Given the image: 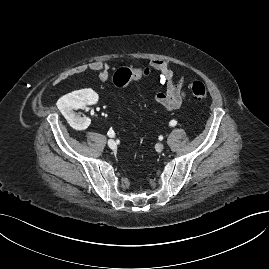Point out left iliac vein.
I'll return each mask as SVG.
<instances>
[{
    "mask_svg": "<svg viewBox=\"0 0 269 269\" xmlns=\"http://www.w3.org/2000/svg\"><path fill=\"white\" fill-rule=\"evenodd\" d=\"M156 148L158 151H162L164 149V145L159 143V144H157Z\"/></svg>",
    "mask_w": 269,
    "mask_h": 269,
    "instance_id": "1",
    "label": "left iliac vein"
}]
</instances>
